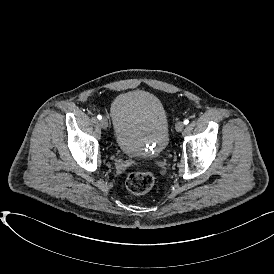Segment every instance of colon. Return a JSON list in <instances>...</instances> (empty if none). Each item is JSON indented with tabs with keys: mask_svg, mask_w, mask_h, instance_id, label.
<instances>
[{
	"mask_svg": "<svg viewBox=\"0 0 274 274\" xmlns=\"http://www.w3.org/2000/svg\"><path fill=\"white\" fill-rule=\"evenodd\" d=\"M155 184L154 176L143 169L131 172L126 178L128 190L136 195H143L150 191Z\"/></svg>",
	"mask_w": 274,
	"mask_h": 274,
	"instance_id": "5ec220e1",
	"label": "colon"
}]
</instances>
